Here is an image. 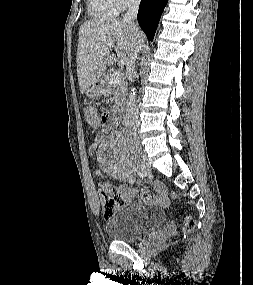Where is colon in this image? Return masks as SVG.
Returning a JSON list of instances; mask_svg holds the SVG:
<instances>
[{"label":"colon","instance_id":"obj_1","mask_svg":"<svg viewBox=\"0 0 253 285\" xmlns=\"http://www.w3.org/2000/svg\"><path fill=\"white\" fill-rule=\"evenodd\" d=\"M85 117L87 122L92 126H99L100 114L93 108L88 107L85 110ZM99 198L104 207V213L106 217H110L115 208L125 206L129 203V200L120 191L115 188L102 186L99 189ZM195 227V220L192 216H187L183 223L185 231H191Z\"/></svg>","mask_w":253,"mask_h":285}]
</instances>
